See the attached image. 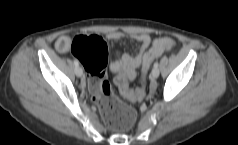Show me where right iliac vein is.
Wrapping results in <instances>:
<instances>
[{
	"instance_id": "obj_1",
	"label": "right iliac vein",
	"mask_w": 238,
	"mask_h": 145,
	"mask_svg": "<svg viewBox=\"0 0 238 145\" xmlns=\"http://www.w3.org/2000/svg\"><path fill=\"white\" fill-rule=\"evenodd\" d=\"M75 74H76L77 77H81V76L83 75V70H82V68L79 67V66H77V67L75 68Z\"/></svg>"
}]
</instances>
